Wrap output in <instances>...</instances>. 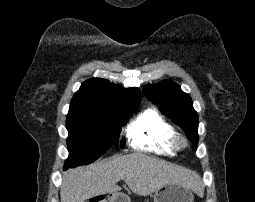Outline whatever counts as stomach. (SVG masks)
<instances>
[{"instance_id": "1", "label": "stomach", "mask_w": 255, "mask_h": 202, "mask_svg": "<svg viewBox=\"0 0 255 202\" xmlns=\"http://www.w3.org/2000/svg\"><path fill=\"white\" fill-rule=\"evenodd\" d=\"M153 202H193L192 190L178 183H169L154 191ZM105 202H130L128 196L114 193L108 196Z\"/></svg>"}]
</instances>
